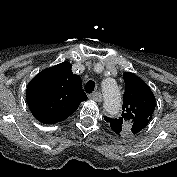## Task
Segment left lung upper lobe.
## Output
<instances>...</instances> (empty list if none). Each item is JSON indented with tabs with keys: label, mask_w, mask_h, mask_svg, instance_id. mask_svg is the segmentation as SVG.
<instances>
[{
	"label": "left lung upper lobe",
	"mask_w": 177,
	"mask_h": 177,
	"mask_svg": "<svg viewBox=\"0 0 177 177\" xmlns=\"http://www.w3.org/2000/svg\"><path fill=\"white\" fill-rule=\"evenodd\" d=\"M125 93L123 95L122 115L119 118L104 119L118 135H138L150 122L155 109V96L150 87L138 76L127 72L123 74Z\"/></svg>",
	"instance_id": "left-lung-upper-lobe-1"
}]
</instances>
